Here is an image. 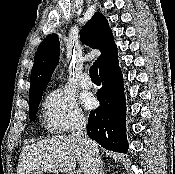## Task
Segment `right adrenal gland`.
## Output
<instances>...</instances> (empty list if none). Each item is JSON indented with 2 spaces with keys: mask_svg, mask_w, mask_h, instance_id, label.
I'll list each match as a JSON object with an SVG mask.
<instances>
[{
  "mask_svg": "<svg viewBox=\"0 0 175 174\" xmlns=\"http://www.w3.org/2000/svg\"><path fill=\"white\" fill-rule=\"evenodd\" d=\"M100 174H105L103 170H101V173Z\"/></svg>",
  "mask_w": 175,
  "mask_h": 174,
  "instance_id": "obj_1",
  "label": "right adrenal gland"
}]
</instances>
